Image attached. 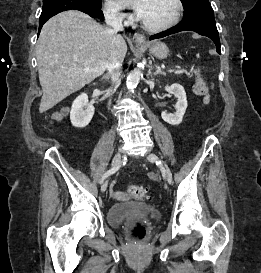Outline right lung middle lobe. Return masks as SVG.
Instances as JSON below:
<instances>
[{"label":"right lung middle lobe","mask_w":261,"mask_h":273,"mask_svg":"<svg viewBox=\"0 0 261 273\" xmlns=\"http://www.w3.org/2000/svg\"><path fill=\"white\" fill-rule=\"evenodd\" d=\"M62 0H43V12H49L54 9H57V6L61 4ZM88 4L95 5L101 8L102 0H85Z\"/></svg>","instance_id":"right-lung-middle-lobe-1"}]
</instances>
